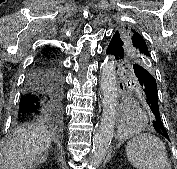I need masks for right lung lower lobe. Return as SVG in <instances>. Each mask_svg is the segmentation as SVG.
<instances>
[{
	"label": "right lung lower lobe",
	"mask_w": 177,
	"mask_h": 169,
	"mask_svg": "<svg viewBox=\"0 0 177 169\" xmlns=\"http://www.w3.org/2000/svg\"><path fill=\"white\" fill-rule=\"evenodd\" d=\"M62 85V74L55 57L44 52L28 72L17 121L59 122L62 118Z\"/></svg>",
	"instance_id": "right-lung-lower-lobe-1"
}]
</instances>
